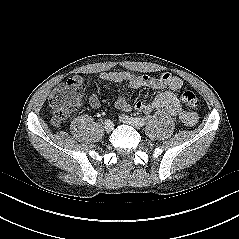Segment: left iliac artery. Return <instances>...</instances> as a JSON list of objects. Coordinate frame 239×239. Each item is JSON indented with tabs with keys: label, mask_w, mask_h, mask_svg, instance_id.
Here are the masks:
<instances>
[{
	"label": "left iliac artery",
	"mask_w": 239,
	"mask_h": 239,
	"mask_svg": "<svg viewBox=\"0 0 239 239\" xmlns=\"http://www.w3.org/2000/svg\"><path fill=\"white\" fill-rule=\"evenodd\" d=\"M136 123L139 125V126H144L145 125V120L141 117H136L134 118Z\"/></svg>",
	"instance_id": "1"
}]
</instances>
